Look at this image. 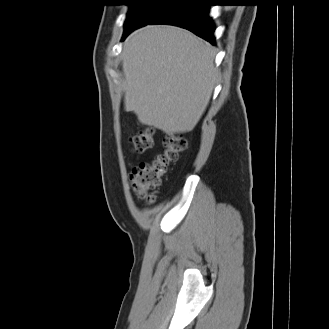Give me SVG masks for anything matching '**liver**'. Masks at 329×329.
Listing matches in <instances>:
<instances>
[{
	"label": "liver",
	"instance_id": "1",
	"mask_svg": "<svg viewBox=\"0 0 329 329\" xmlns=\"http://www.w3.org/2000/svg\"><path fill=\"white\" fill-rule=\"evenodd\" d=\"M213 47L191 32L148 25L124 42L125 110L173 135L194 129L213 92Z\"/></svg>",
	"mask_w": 329,
	"mask_h": 329
}]
</instances>
